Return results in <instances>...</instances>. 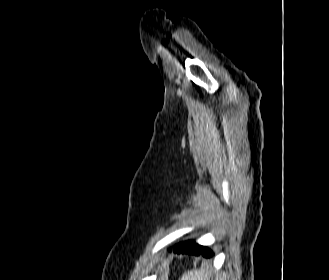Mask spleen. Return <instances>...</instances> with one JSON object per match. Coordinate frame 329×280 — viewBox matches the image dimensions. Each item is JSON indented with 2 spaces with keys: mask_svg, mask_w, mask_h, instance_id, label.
Segmentation results:
<instances>
[{
  "mask_svg": "<svg viewBox=\"0 0 329 280\" xmlns=\"http://www.w3.org/2000/svg\"><path fill=\"white\" fill-rule=\"evenodd\" d=\"M207 272L204 268L195 269L194 271L190 270L188 272H184L181 279L179 280H206Z\"/></svg>",
  "mask_w": 329,
  "mask_h": 280,
  "instance_id": "3e777b00",
  "label": "spleen"
}]
</instances>
